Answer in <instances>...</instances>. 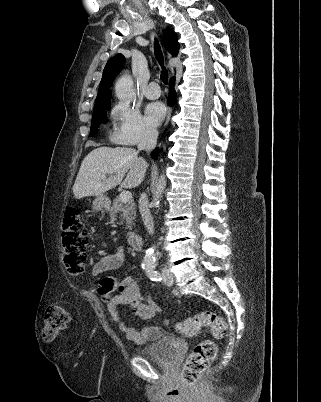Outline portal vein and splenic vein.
<instances>
[{"label":"portal vein and splenic vein","instance_id":"portal-vein-and-splenic-vein-1","mask_svg":"<svg viewBox=\"0 0 321 402\" xmlns=\"http://www.w3.org/2000/svg\"><path fill=\"white\" fill-rule=\"evenodd\" d=\"M101 178L106 179V175H102ZM119 197L122 200V202H127V201L132 199V194L129 191H123V192L120 193Z\"/></svg>","mask_w":321,"mask_h":402}]
</instances>
